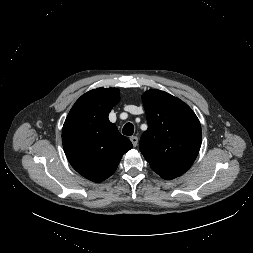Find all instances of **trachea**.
<instances>
[{
  "instance_id": "obj_1",
  "label": "trachea",
  "mask_w": 253,
  "mask_h": 253,
  "mask_svg": "<svg viewBox=\"0 0 253 253\" xmlns=\"http://www.w3.org/2000/svg\"><path fill=\"white\" fill-rule=\"evenodd\" d=\"M123 134L126 136H131L134 133V126L132 123H127L124 125L123 130H122Z\"/></svg>"
}]
</instances>
